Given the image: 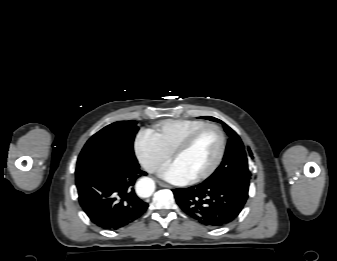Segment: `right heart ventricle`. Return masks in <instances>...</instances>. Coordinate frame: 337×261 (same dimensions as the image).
<instances>
[{
  "instance_id": "obj_1",
  "label": "right heart ventricle",
  "mask_w": 337,
  "mask_h": 261,
  "mask_svg": "<svg viewBox=\"0 0 337 261\" xmlns=\"http://www.w3.org/2000/svg\"><path fill=\"white\" fill-rule=\"evenodd\" d=\"M204 124L195 119H168L157 123L149 132L171 154L189 132Z\"/></svg>"
}]
</instances>
